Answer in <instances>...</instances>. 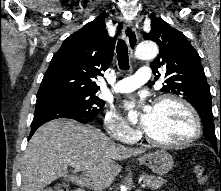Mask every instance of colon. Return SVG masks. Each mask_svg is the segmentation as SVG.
I'll return each instance as SVG.
<instances>
[{"label":"colon","mask_w":221,"mask_h":191,"mask_svg":"<svg viewBox=\"0 0 221 191\" xmlns=\"http://www.w3.org/2000/svg\"><path fill=\"white\" fill-rule=\"evenodd\" d=\"M194 171H195L197 177L199 178V180L204 179L205 174H204V170H203L202 166L195 165ZM44 191H69V187L65 182H60V183H57L56 185H54L53 187H49V188L45 189ZM206 191H215V190L214 189H207Z\"/></svg>","instance_id":"obj_1"}]
</instances>
